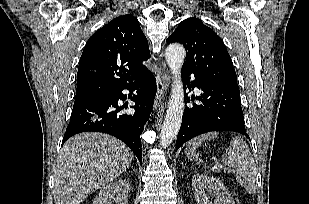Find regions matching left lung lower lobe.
I'll return each mask as SVG.
<instances>
[{"mask_svg": "<svg viewBox=\"0 0 309 204\" xmlns=\"http://www.w3.org/2000/svg\"><path fill=\"white\" fill-rule=\"evenodd\" d=\"M183 80L189 89L202 91L196 99L203 105L185 107L181 128L176 141V150L186 141L211 131H234L249 136L244 126L239 87L235 83L220 81L200 72L183 70ZM194 80L190 85V75ZM195 97H191L194 100ZM190 97H187V102ZM250 139V138H249Z\"/></svg>", "mask_w": 309, "mask_h": 204, "instance_id": "left-lung-lower-lobe-1", "label": "left lung lower lobe"}]
</instances>
